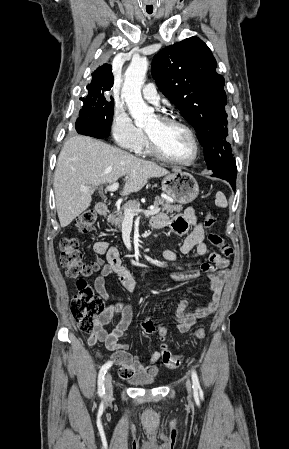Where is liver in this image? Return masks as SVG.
Listing matches in <instances>:
<instances>
[{"label": "liver", "mask_w": 289, "mask_h": 449, "mask_svg": "<svg viewBox=\"0 0 289 449\" xmlns=\"http://www.w3.org/2000/svg\"><path fill=\"white\" fill-rule=\"evenodd\" d=\"M169 171L119 148L87 137L69 138L59 154L54 175L56 209L61 227L68 226L92 201L95 188L125 176L121 195L138 192L149 178ZM81 187H88L87 192Z\"/></svg>", "instance_id": "1"}]
</instances>
